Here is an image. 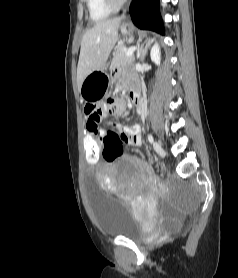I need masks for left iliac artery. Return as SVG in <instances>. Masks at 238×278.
Returning a JSON list of instances; mask_svg holds the SVG:
<instances>
[{"label": "left iliac artery", "instance_id": "44dca946", "mask_svg": "<svg viewBox=\"0 0 238 278\" xmlns=\"http://www.w3.org/2000/svg\"><path fill=\"white\" fill-rule=\"evenodd\" d=\"M148 140H149L150 143H153L154 138L151 134L148 135Z\"/></svg>", "mask_w": 238, "mask_h": 278}]
</instances>
